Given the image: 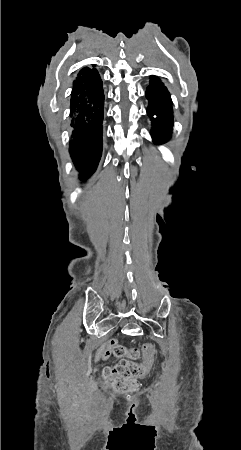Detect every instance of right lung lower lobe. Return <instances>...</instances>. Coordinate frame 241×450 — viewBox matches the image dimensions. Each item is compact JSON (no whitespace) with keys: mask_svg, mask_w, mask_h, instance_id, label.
Instances as JSON below:
<instances>
[{"mask_svg":"<svg viewBox=\"0 0 241 450\" xmlns=\"http://www.w3.org/2000/svg\"><path fill=\"white\" fill-rule=\"evenodd\" d=\"M104 101L102 80L97 70L82 68L73 82L71 92L73 131L69 148L81 180H86L95 172L101 158Z\"/></svg>","mask_w":241,"mask_h":450,"instance_id":"98d812e1","label":"right lung lower lobe"}]
</instances>
